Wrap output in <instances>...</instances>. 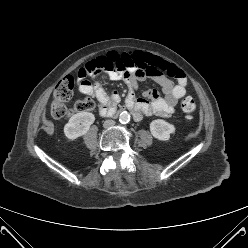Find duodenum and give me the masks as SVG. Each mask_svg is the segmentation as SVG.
<instances>
[{
	"mask_svg": "<svg viewBox=\"0 0 248 248\" xmlns=\"http://www.w3.org/2000/svg\"><path fill=\"white\" fill-rule=\"evenodd\" d=\"M121 110H129L131 111V109H129V104L126 103L122 108ZM118 112H112L111 115H116Z\"/></svg>",
	"mask_w": 248,
	"mask_h": 248,
	"instance_id": "obj_1",
	"label": "duodenum"
}]
</instances>
